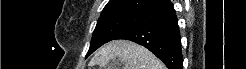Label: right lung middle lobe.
<instances>
[{
  "instance_id": "right-lung-middle-lobe-1",
  "label": "right lung middle lobe",
  "mask_w": 246,
  "mask_h": 69,
  "mask_svg": "<svg viewBox=\"0 0 246 69\" xmlns=\"http://www.w3.org/2000/svg\"><path fill=\"white\" fill-rule=\"evenodd\" d=\"M142 20V15H120L99 19L90 42L87 56L103 44L114 40L126 30L132 28Z\"/></svg>"
}]
</instances>
